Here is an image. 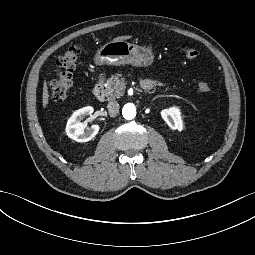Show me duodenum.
<instances>
[{"label":"duodenum","instance_id":"duodenum-1","mask_svg":"<svg viewBox=\"0 0 255 255\" xmlns=\"http://www.w3.org/2000/svg\"><path fill=\"white\" fill-rule=\"evenodd\" d=\"M104 81L105 77L103 74H101L96 82V84L93 87V95L95 96L96 99L98 100H103L105 97V92H104ZM144 87H148V83L143 84Z\"/></svg>","mask_w":255,"mask_h":255}]
</instances>
